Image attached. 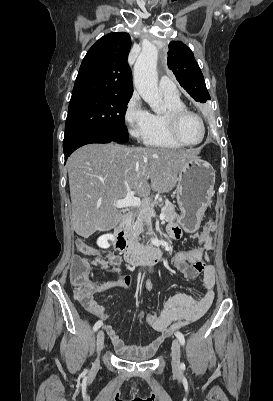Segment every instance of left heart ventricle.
Masks as SVG:
<instances>
[{
    "instance_id": "left-heart-ventricle-1",
    "label": "left heart ventricle",
    "mask_w": 273,
    "mask_h": 401,
    "mask_svg": "<svg viewBox=\"0 0 273 401\" xmlns=\"http://www.w3.org/2000/svg\"><path fill=\"white\" fill-rule=\"evenodd\" d=\"M178 133L184 141L195 143L201 140L203 129L196 116L185 115L178 124Z\"/></svg>"
}]
</instances>
